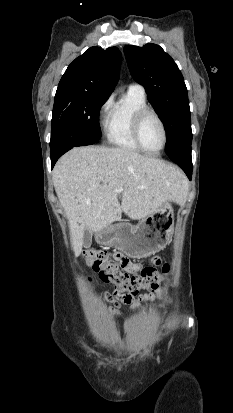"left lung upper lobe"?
<instances>
[{
  "label": "left lung upper lobe",
  "mask_w": 233,
  "mask_h": 413,
  "mask_svg": "<svg viewBox=\"0 0 233 413\" xmlns=\"http://www.w3.org/2000/svg\"><path fill=\"white\" fill-rule=\"evenodd\" d=\"M124 51L133 78L144 86L149 101L165 125L167 155L191 154L188 94L177 64L156 44L127 45Z\"/></svg>",
  "instance_id": "obj_1"
}]
</instances>
